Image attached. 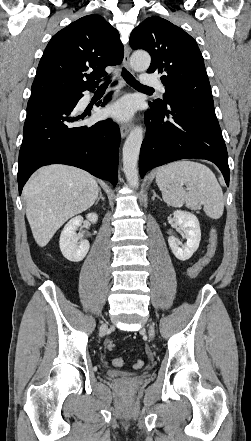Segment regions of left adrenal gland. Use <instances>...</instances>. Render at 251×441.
<instances>
[{"label":"left adrenal gland","instance_id":"1","mask_svg":"<svg viewBox=\"0 0 251 441\" xmlns=\"http://www.w3.org/2000/svg\"><path fill=\"white\" fill-rule=\"evenodd\" d=\"M156 197H157L158 199H160L159 196L156 194V192L153 190L152 200H154Z\"/></svg>","mask_w":251,"mask_h":441}]
</instances>
